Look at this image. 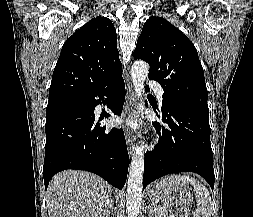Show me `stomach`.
<instances>
[{"instance_id":"0dacf381","label":"stomach","mask_w":253,"mask_h":217,"mask_svg":"<svg viewBox=\"0 0 253 217\" xmlns=\"http://www.w3.org/2000/svg\"><path fill=\"white\" fill-rule=\"evenodd\" d=\"M149 193L151 198L160 200L176 217H188L190 214L193 197L186 183L167 176L155 182Z\"/></svg>"}]
</instances>
